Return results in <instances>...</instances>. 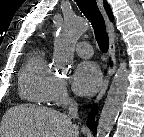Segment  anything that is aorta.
Masks as SVG:
<instances>
[{"label":"aorta","mask_w":144,"mask_h":137,"mask_svg":"<svg viewBox=\"0 0 144 137\" xmlns=\"http://www.w3.org/2000/svg\"><path fill=\"white\" fill-rule=\"evenodd\" d=\"M85 27L86 23L76 16H67L64 19L54 42L53 63L57 68L68 70L72 65L75 44L83 34ZM128 74L127 63L121 61L114 74L99 117L97 137H109L113 129L124 102Z\"/></svg>","instance_id":"aorta-1"}]
</instances>
